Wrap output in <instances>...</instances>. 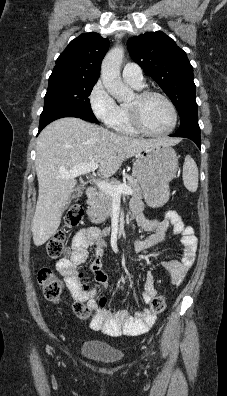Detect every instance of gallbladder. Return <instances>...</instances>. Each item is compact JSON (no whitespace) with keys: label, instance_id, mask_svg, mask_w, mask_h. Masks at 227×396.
<instances>
[{"label":"gallbladder","instance_id":"bac80fb5","mask_svg":"<svg viewBox=\"0 0 227 396\" xmlns=\"http://www.w3.org/2000/svg\"><path fill=\"white\" fill-rule=\"evenodd\" d=\"M81 192H82V189L80 187L76 188L73 191V194L70 196L68 204L70 203L72 198H74L75 196L79 195Z\"/></svg>","mask_w":227,"mask_h":396}]
</instances>
